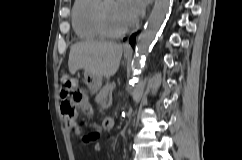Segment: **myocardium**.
<instances>
[{
  "label": "myocardium",
  "instance_id": "f54148a6",
  "mask_svg": "<svg viewBox=\"0 0 242 160\" xmlns=\"http://www.w3.org/2000/svg\"><path fill=\"white\" fill-rule=\"evenodd\" d=\"M105 1L106 0H99L95 6V9H94L95 25L103 37L110 38V39L121 38L130 31L131 25H128L126 28L118 32H113L109 30L105 24L104 15H103V7H104Z\"/></svg>",
  "mask_w": 242,
  "mask_h": 160
}]
</instances>
